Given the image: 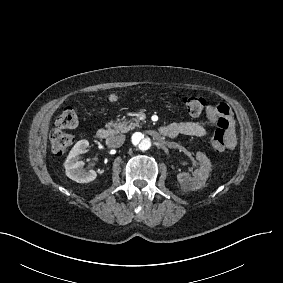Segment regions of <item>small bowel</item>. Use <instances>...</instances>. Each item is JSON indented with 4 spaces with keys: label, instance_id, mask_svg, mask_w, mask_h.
<instances>
[{
    "label": "small bowel",
    "instance_id": "c3829d8e",
    "mask_svg": "<svg viewBox=\"0 0 283 283\" xmlns=\"http://www.w3.org/2000/svg\"><path fill=\"white\" fill-rule=\"evenodd\" d=\"M232 112L233 107L226 101L221 100L216 106L209 105L206 108V117L211 123H215L217 122L218 117L221 115L226 123H231L234 120V115ZM165 128L169 131L170 137L177 135L204 137L207 135L206 127L202 123L195 121L173 123L165 126ZM236 144L237 137L232 126L226 137L225 148L227 150H233L236 147Z\"/></svg>",
    "mask_w": 283,
    "mask_h": 283
}]
</instances>
